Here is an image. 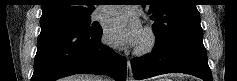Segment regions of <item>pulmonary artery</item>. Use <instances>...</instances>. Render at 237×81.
I'll list each match as a JSON object with an SVG mask.
<instances>
[{
    "instance_id": "e3ab8cb5",
    "label": "pulmonary artery",
    "mask_w": 237,
    "mask_h": 81,
    "mask_svg": "<svg viewBox=\"0 0 237 81\" xmlns=\"http://www.w3.org/2000/svg\"><path fill=\"white\" fill-rule=\"evenodd\" d=\"M120 11V7L119 6H111V7H108L106 9H103L97 13L94 14V18L95 19H100L102 17H106V16H109V15H113V14H116Z\"/></svg>"
}]
</instances>
